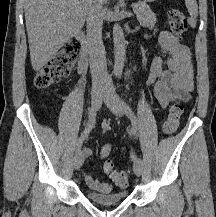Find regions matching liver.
Returning <instances> with one entry per match:
<instances>
[{
  "label": "liver",
  "mask_w": 216,
  "mask_h": 217,
  "mask_svg": "<svg viewBox=\"0 0 216 217\" xmlns=\"http://www.w3.org/2000/svg\"><path fill=\"white\" fill-rule=\"evenodd\" d=\"M107 0H24L32 68L39 71L83 27L89 7Z\"/></svg>",
  "instance_id": "1"
}]
</instances>
